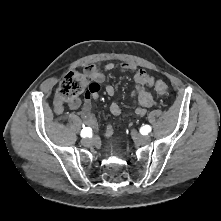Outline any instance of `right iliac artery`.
<instances>
[{
	"mask_svg": "<svg viewBox=\"0 0 221 221\" xmlns=\"http://www.w3.org/2000/svg\"><path fill=\"white\" fill-rule=\"evenodd\" d=\"M80 135L82 138L90 137L92 135V129L90 127H84Z\"/></svg>",
	"mask_w": 221,
	"mask_h": 221,
	"instance_id": "right-iliac-artery-1",
	"label": "right iliac artery"
}]
</instances>
